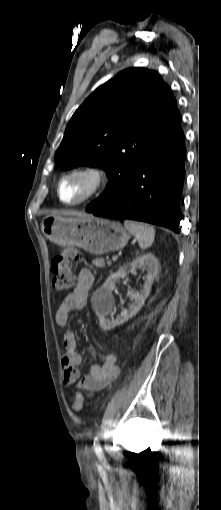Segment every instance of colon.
I'll use <instances>...</instances> for the list:
<instances>
[{"mask_svg": "<svg viewBox=\"0 0 221 510\" xmlns=\"http://www.w3.org/2000/svg\"><path fill=\"white\" fill-rule=\"evenodd\" d=\"M78 258V250L73 247L65 248L52 260L53 286L58 291H66L74 284L73 264ZM85 404V397L77 393L74 397L72 408L81 411Z\"/></svg>", "mask_w": 221, "mask_h": 510, "instance_id": "colon-1", "label": "colon"}]
</instances>
